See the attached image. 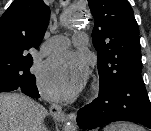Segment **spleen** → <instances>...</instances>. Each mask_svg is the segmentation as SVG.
<instances>
[{"label":"spleen","mask_w":151,"mask_h":131,"mask_svg":"<svg viewBox=\"0 0 151 131\" xmlns=\"http://www.w3.org/2000/svg\"><path fill=\"white\" fill-rule=\"evenodd\" d=\"M104 131H144L141 127L128 123H114L106 126Z\"/></svg>","instance_id":"1"}]
</instances>
